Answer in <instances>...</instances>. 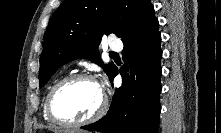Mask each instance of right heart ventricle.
I'll return each instance as SVG.
<instances>
[{
	"label": "right heart ventricle",
	"mask_w": 221,
	"mask_h": 133,
	"mask_svg": "<svg viewBox=\"0 0 221 133\" xmlns=\"http://www.w3.org/2000/svg\"><path fill=\"white\" fill-rule=\"evenodd\" d=\"M43 116H44V119H45L46 121H50L49 118H48V116H47L46 110H45V103H44V105H43Z\"/></svg>",
	"instance_id": "obj_1"
}]
</instances>
